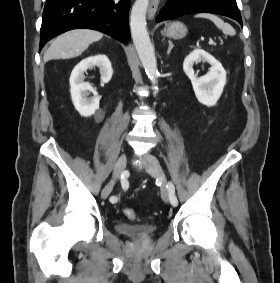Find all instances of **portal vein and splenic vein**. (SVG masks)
<instances>
[{"mask_svg":"<svg viewBox=\"0 0 280 283\" xmlns=\"http://www.w3.org/2000/svg\"><path fill=\"white\" fill-rule=\"evenodd\" d=\"M209 44L212 45L213 44V40L210 38L209 39Z\"/></svg>","mask_w":280,"mask_h":283,"instance_id":"1","label":"portal vein and splenic vein"}]
</instances>
